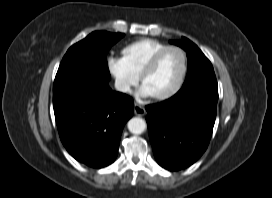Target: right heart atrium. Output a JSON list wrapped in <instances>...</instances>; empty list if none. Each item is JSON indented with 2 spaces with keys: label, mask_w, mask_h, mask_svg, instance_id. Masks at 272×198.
Instances as JSON below:
<instances>
[{
  "label": "right heart atrium",
  "mask_w": 272,
  "mask_h": 198,
  "mask_svg": "<svg viewBox=\"0 0 272 198\" xmlns=\"http://www.w3.org/2000/svg\"><path fill=\"white\" fill-rule=\"evenodd\" d=\"M107 69L114 78L117 89L123 94H129L138 82L136 76L128 67L123 58L109 56L106 61Z\"/></svg>",
  "instance_id": "right-heart-atrium-1"
}]
</instances>
